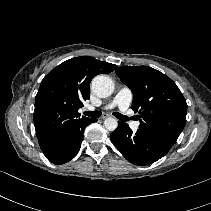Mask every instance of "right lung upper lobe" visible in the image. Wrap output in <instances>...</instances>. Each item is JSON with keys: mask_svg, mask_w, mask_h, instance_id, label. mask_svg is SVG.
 I'll return each instance as SVG.
<instances>
[{"mask_svg": "<svg viewBox=\"0 0 211 211\" xmlns=\"http://www.w3.org/2000/svg\"><path fill=\"white\" fill-rule=\"evenodd\" d=\"M115 68L114 64L81 56L61 63L43 78L34 110L36 136L41 148L89 119L80 118L78 109L90 97L92 78Z\"/></svg>", "mask_w": 211, "mask_h": 211, "instance_id": "cb5924a9", "label": "right lung upper lobe"}]
</instances>
